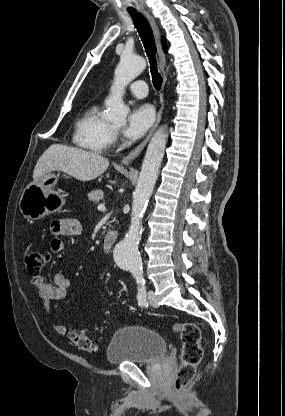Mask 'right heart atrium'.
<instances>
[{
  "mask_svg": "<svg viewBox=\"0 0 285 416\" xmlns=\"http://www.w3.org/2000/svg\"><path fill=\"white\" fill-rule=\"evenodd\" d=\"M117 139H118V135H117L116 131H112L110 144H114L117 141Z\"/></svg>",
  "mask_w": 285,
  "mask_h": 416,
  "instance_id": "right-heart-atrium-1",
  "label": "right heart atrium"
}]
</instances>
